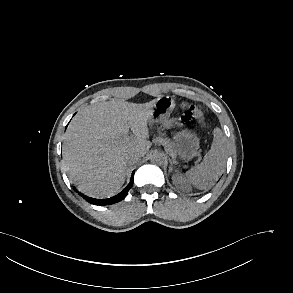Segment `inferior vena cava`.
Listing matches in <instances>:
<instances>
[{
  "label": "inferior vena cava",
  "mask_w": 293,
  "mask_h": 293,
  "mask_svg": "<svg viewBox=\"0 0 293 293\" xmlns=\"http://www.w3.org/2000/svg\"><path fill=\"white\" fill-rule=\"evenodd\" d=\"M142 155L137 152H130L126 157V162L129 166L135 165L138 163Z\"/></svg>",
  "instance_id": "inferior-vena-cava-1"
}]
</instances>
